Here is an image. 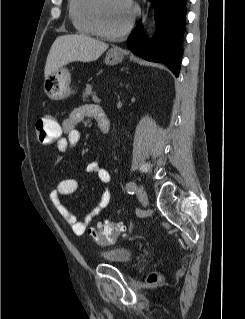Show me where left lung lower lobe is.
Masks as SVG:
<instances>
[{
	"mask_svg": "<svg viewBox=\"0 0 245 319\" xmlns=\"http://www.w3.org/2000/svg\"><path fill=\"white\" fill-rule=\"evenodd\" d=\"M155 9L157 33L148 40L142 23L131 32L127 47L136 55L167 65L179 76L182 60V39L185 29L186 0H150Z\"/></svg>",
	"mask_w": 245,
	"mask_h": 319,
	"instance_id": "obj_1",
	"label": "left lung lower lobe"
}]
</instances>
